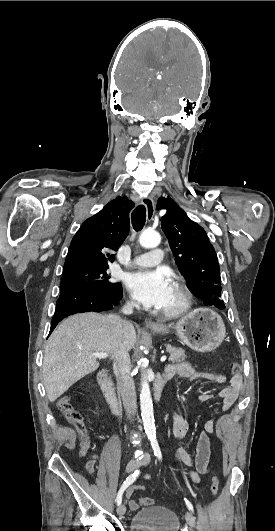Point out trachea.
<instances>
[{
	"instance_id": "3493384b",
	"label": "trachea",
	"mask_w": 275,
	"mask_h": 531,
	"mask_svg": "<svg viewBox=\"0 0 275 531\" xmlns=\"http://www.w3.org/2000/svg\"><path fill=\"white\" fill-rule=\"evenodd\" d=\"M132 226L135 231H140L146 221V209L145 206L139 205L135 208L131 215Z\"/></svg>"
}]
</instances>
